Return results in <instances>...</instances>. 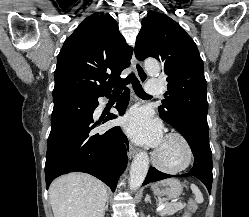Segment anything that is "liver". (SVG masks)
I'll list each match as a JSON object with an SVG mask.
<instances>
[{"label":"liver","instance_id":"6515ba94","mask_svg":"<svg viewBox=\"0 0 249 217\" xmlns=\"http://www.w3.org/2000/svg\"><path fill=\"white\" fill-rule=\"evenodd\" d=\"M54 217H102L108 199L103 182L85 173H70L49 188Z\"/></svg>","mask_w":249,"mask_h":217}]
</instances>
